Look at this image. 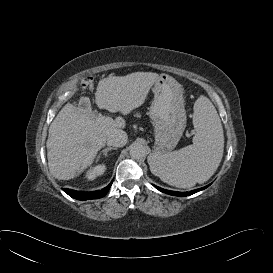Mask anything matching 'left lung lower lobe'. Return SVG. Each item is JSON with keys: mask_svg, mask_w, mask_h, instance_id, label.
Segmentation results:
<instances>
[{"mask_svg": "<svg viewBox=\"0 0 273 273\" xmlns=\"http://www.w3.org/2000/svg\"><path fill=\"white\" fill-rule=\"evenodd\" d=\"M210 185V184H209ZM209 185L205 186V187H202V188H199V189H196V190H193V191H190V192H176V191H170V190H165V189H162L160 187H157L154 185V187L156 189H158L159 191L163 192V193H166V194H169V195H173V196H179V197H185V196H188V195H192L198 191H201V190H204L205 188H207Z\"/></svg>", "mask_w": 273, "mask_h": 273, "instance_id": "0a47b994", "label": "left lung lower lobe"}]
</instances>
